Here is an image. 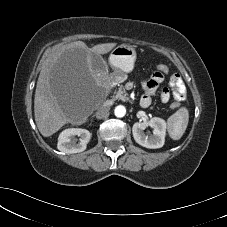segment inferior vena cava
Segmentation results:
<instances>
[{"label": "inferior vena cava", "instance_id": "inferior-vena-cava-1", "mask_svg": "<svg viewBox=\"0 0 227 227\" xmlns=\"http://www.w3.org/2000/svg\"><path fill=\"white\" fill-rule=\"evenodd\" d=\"M109 110H110L109 106H101V107H99V109L97 110V112L95 114L96 118H98V119L104 118L105 116L108 115Z\"/></svg>", "mask_w": 227, "mask_h": 227}]
</instances>
